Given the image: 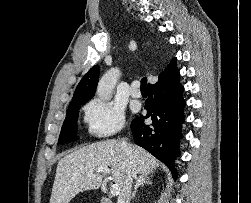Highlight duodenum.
<instances>
[{
  "mask_svg": "<svg viewBox=\"0 0 251 203\" xmlns=\"http://www.w3.org/2000/svg\"><path fill=\"white\" fill-rule=\"evenodd\" d=\"M101 203H114L112 200H110L109 198L107 197H102L101 198Z\"/></svg>",
  "mask_w": 251,
  "mask_h": 203,
  "instance_id": "obj_1",
  "label": "duodenum"
}]
</instances>
